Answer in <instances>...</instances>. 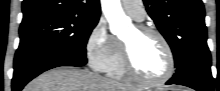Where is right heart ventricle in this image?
Segmentation results:
<instances>
[{
	"instance_id": "right-heart-ventricle-1",
	"label": "right heart ventricle",
	"mask_w": 220,
	"mask_h": 91,
	"mask_svg": "<svg viewBox=\"0 0 220 91\" xmlns=\"http://www.w3.org/2000/svg\"><path fill=\"white\" fill-rule=\"evenodd\" d=\"M117 54L106 71L109 76L116 79H125L127 74L123 65V52H122V44L117 40Z\"/></svg>"
}]
</instances>
